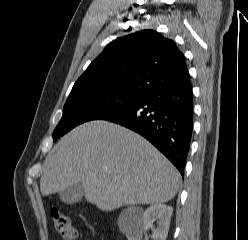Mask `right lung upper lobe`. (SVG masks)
Listing matches in <instances>:
<instances>
[{"mask_svg": "<svg viewBox=\"0 0 248 240\" xmlns=\"http://www.w3.org/2000/svg\"><path fill=\"white\" fill-rule=\"evenodd\" d=\"M188 76L185 57L174 41L143 30L109 43L72 90L112 88L145 96Z\"/></svg>", "mask_w": 248, "mask_h": 240, "instance_id": "obj_1", "label": "right lung upper lobe"}]
</instances>
